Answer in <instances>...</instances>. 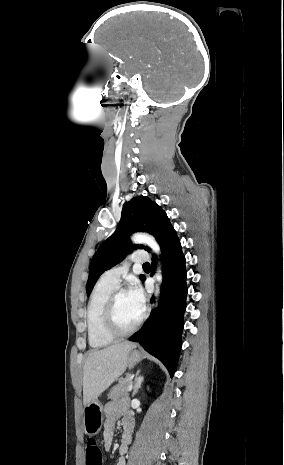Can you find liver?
<instances>
[{
    "instance_id": "1",
    "label": "liver",
    "mask_w": 284,
    "mask_h": 465,
    "mask_svg": "<svg viewBox=\"0 0 284 465\" xmlns=\"http://www.w3.org/2000/svg\"><path fill=\"white\" fill-rule=\"evenodd\" d=\"M136 349L134 343H118L101 351L88 353L83 365V405L96 401L127 367V357Z\"/></svg>"
}]
</instances>
